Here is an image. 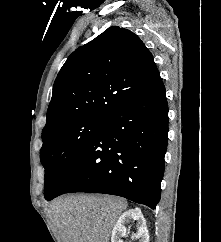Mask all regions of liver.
I'll return each instance as SVG.
<instances>
[{
	"mask_svg": "<svg viewBox=\"0 0 221 242\" xmlns=\"http://www.w3.org/2000/svg\"><path fill=\"white\" fill-rule=\"evenodd\" d=\"M127 206L120 197L71 195L54 200L48 213L59 242H108Z\"/></svg>",
	"mask_w": 221,
	"mask_h": 242,
	"instance_id": "6515ba94",
	"label": "liver"
}]
</instances>
